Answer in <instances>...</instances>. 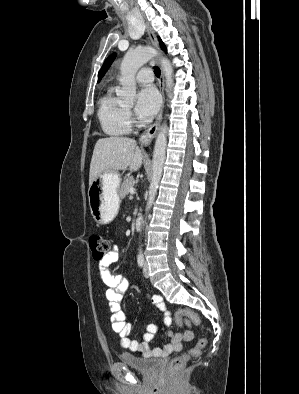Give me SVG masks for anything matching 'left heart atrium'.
Wrapping results in <instances>:
<instances>
[{
	"label": "left heart atrium",
	"instance_id": "39dd6f15",
	"mask_svg": "<svg viewBox=\"0 0 299 394\" xmlns=\"http://www.w3.org/2000/svg\"><path fill=\"white\" fill-rule=\"evenodd\" d=\"M160 96L157 90L152 87L143 88L137 96V102L135 106L136 113L144 118H152L160 107Z\"/></svg>",
	"mask_w": 299,
	"mask_h": 394
}]
</instances>
